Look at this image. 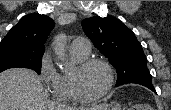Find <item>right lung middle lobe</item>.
Returning <instances> with one entry per match:
<instances>
[{"mask_svg":"<svg viewBox=\"0 0 171 110\" xmlns=\"http://www.w3.org/2000/svg\"><path fill=\"white\" fill-rule=\"evenodd\" d=\"M43 53L14 45H0V72L9 68H29L40 74Z\"/></svg>","mask_w":171,"mask_h":110,"instance_id":"right-lung-middle-lobe-1","label":"right lung middle lobe"}]
</instances>
